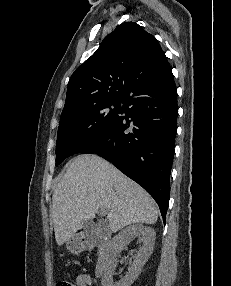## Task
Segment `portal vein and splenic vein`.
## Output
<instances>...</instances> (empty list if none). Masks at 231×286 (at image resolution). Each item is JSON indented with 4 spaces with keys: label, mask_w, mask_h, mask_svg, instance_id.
Returning <instances> with one entry per match:
<instances>
[{
    "label": "portal vein and splenic vein",
    "mask_w": 231,
    "mask_h": 286,
    "mask_svg": "<svg viewBox=\"0 0 231 286\" xmlns=\"http://www.w3.org/2000/svg\"><path fill=\"white\" fill-rule=\"evenodd\" d=\"M99 212H100V215H105V214H107V211H106L104 208H101V209L99 210Z\"/></svg>",
    "instance_id": "18ae733b"
}]
</instances>
